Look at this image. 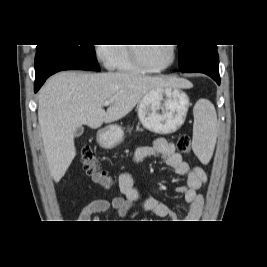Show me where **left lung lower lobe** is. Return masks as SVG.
Instances as JSON below:
<instances>
[{"instance_id":"obj_1","label":"left lung lower lobe","mask_w":267,"mask_h":267,"mask_svg":"<svg viewBox=\"0 0 267 267\" xmlns=\"http://www.w3.org/2000/svg\"><path fill=\"white\" fill-rule=\"evenodd\" d=\"M182 72L186 73H204L220 84L219 76V57L217 51L209 52L200 56L191 65Z\"/></svg>"}]
</instances>
